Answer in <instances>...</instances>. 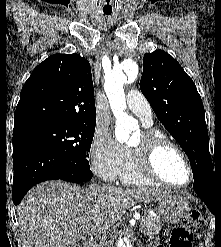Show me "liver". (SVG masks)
I'll list each match as a JSON object with an SVG mask.
<instances>
[{
    "instance_id": "6515ba94",
    "label": "liver",
    "mask_w": 221,
    "mask_h": 247,
    "mask_svg": "<svg viewBox=\"0 0 221 247\" xmlns=\"http://www.w3.org/2000/svg\"><path fill=\"white\" fill-rule=\"evenodd\" d=\"M165 190L91 186L62 181L33 187L18 207V223L32 247H80L87 235L105 238L126 210L137 202H156Z\"/></svg>"
}]
</instances>
